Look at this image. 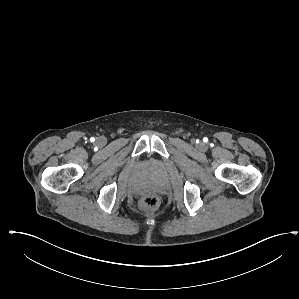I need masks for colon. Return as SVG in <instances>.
Instances as JSON below:
<instances>
[{"label":"colon","mask_w":299,"mask_h":299,"mask_svg":"<svg viewBox=\"0 0 299 299\" xmlns=\"http://www.w3.org/2000/svg\"><path fill=\"white\" fill-rule=\"evenodd\" d=\"M158 198L154 195H147L140 200V208L143 211H152L158 207Z\"/></svg>","instance_id":"obj_1"}]
</instances>
